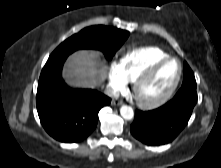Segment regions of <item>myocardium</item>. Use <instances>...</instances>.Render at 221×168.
I'll return each mask as SVG.
<instances>
[{
	"label": "myocardium",
	"instance_id": "f54148a6",
	"mask_svg": "<svg viewBox=\"0 0 221 168\" xmlns=\"http://www.w3.org/2000/svg\"><path fill=\"white\" fill-rule=\"evenodd\" d=\"M174 61L178 65V73L174 80V82L171 84V86L160 96L154 98V99H143L139 92L140 88L152 78V76L166 63ZM182 64L179 59L175 57H166L163 58L155 63H153L151 66H149L134 82H133V95L138 103V105L145 109H153L156 107H159L163 105L165 102H167L170 97L173 95V93L176 91L177 87L179 86V83L181 81L182 77Z\"/></svg>",
	"mask_w": 221,
	"mask_h": 168
}]
</instances>
